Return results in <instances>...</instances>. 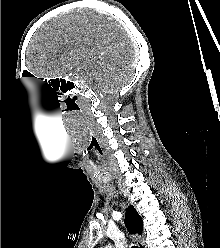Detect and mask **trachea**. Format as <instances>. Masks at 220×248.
<instances>
[{"mask_svg": "<svg viewBox=\"0 0 220 248\" xmlns=\"http://www.w3.org/2000/svg\"><path fill=\"white\" fill-rule=\"evenodd\" d=\"M132 248H137L136 246H133Z\"/></svg>", "mask_w": 220, "mask_h": 248, "instance_id": "trachea-1", "label": "trachea"}]
</instances>
